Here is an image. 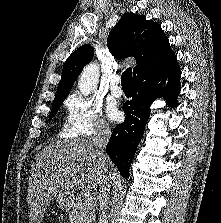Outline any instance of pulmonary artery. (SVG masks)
<instances>
[{
    "mask_svg": "<svg viewBox=\"0 0 221 223\" xmlns=\"http://www.w3.org/2000/svg\"><path fill=\"white\" fill-rule=\"evenodd\" d=\"M121 82V77L118 75H115L110 82V88H111V93L115 96V97H120L123 94V90L121 89V87L119 86Z\"/></svg>",
    "mask_w": 221,
    "mask_h": 223,
    "instance_id": "e3ab8cb5",
    "label": "pulmonary artery"
}]
</instances>
